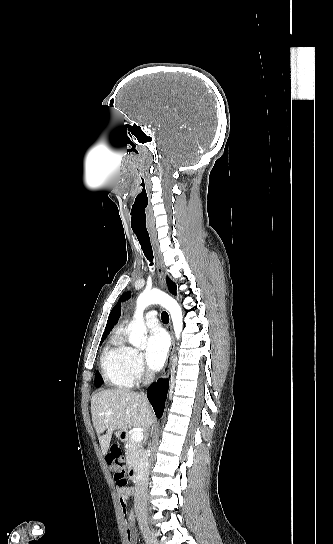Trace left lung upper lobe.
<instances>
[{
	"instance_id": "1",
	"label": "left lung upper lobe",
	"mask_w": 333,
	"mask_h": 544,
	"mask_svg": "<svg viewBox=\"0 0 333 544\" xmlns=\"http://www.w3.org/2000/svg\"><path fill=\"white\" fill-rule=\"evenodd\" d=\"M167 284L169 286L170 291L174 295H176V284L170 278H167ZM130 297H131L130 292H126L120 297L119 302L120 301H125V300L129 299Z\"/></svg>"
}]
</instances>
